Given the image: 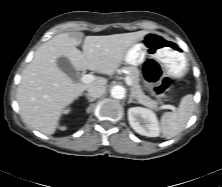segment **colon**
I'll return each mask as SVG.
<instances>
[{"label": "colon", "instance_id": "colon-1", "mask_svg": "<svg viewBox=\"0 0 222 187\" xmlns=\"http://www.w3.org/2000/svg\"><path fill=\"white\" fill-rule=\"evenodd\" d=\"M143 78L147 82V90L154 96L169 99L170 90L172 87V80L163 78L162 72L157 64L152 59L147 60L143 68Z\"/></svg>", "mask_w": 222, "mask_h": 187}]
</instances>
